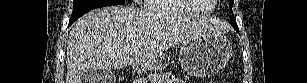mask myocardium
<instances>
[{
	"instance_id": "f54148a6",
	"label": "myocardium",
	"mask_w": 307,
	"mask_h": 83,
	"mask_svg": "<svg viewBox=\"0 0 307 83\" xmlns=\"http://www.w3.org/2000/svg\"><path fill=\"white\" fill-rule=\"evenodd\" d=\"M183 3H185L187 6L191 7L194 12H198L201 14H208L211 13L214 9V5H211V8L209 10H201L198 5L195 4L194 0H181Z\"/></svg>"
}]
</instances>
